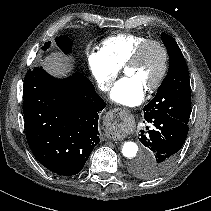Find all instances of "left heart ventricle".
<instances>
[{
    "label": "left heart ventricle",
    "instance_id": "left-heart-ventricle-1",
    "mask_svg": "<svg viewBox=\"0 0 211 211\" xmlns=\"http://www.w3.org/2000/svg\"><path fill=\"white\" fill-rule=\"evenodd\" d=\"M161 64L162 56L159 49L149 47L135 65L124 70V74L135 78L146 90L157 79Z\"/></svg>",
    "mask_w": 211,
    "mask_h": 211
}]
</instances>
